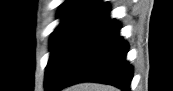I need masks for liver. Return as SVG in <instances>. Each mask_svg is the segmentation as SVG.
<instances>
[{"mask_svg": "<svg viewBox=\"0 0 173 91\" xmlns=\"http://www.w3.org/2000/svg\"><path fill=\"white\" fill-rule=\"evenodd\" d=\"M64 91H118L113 86L95 84V83H82L66 88Z\"/></svg>", "mask_w": 173, "mask_h": 91, "instance_id": "1", "label": "liver"}]
</instances>
